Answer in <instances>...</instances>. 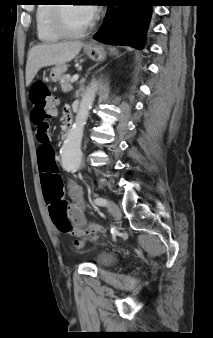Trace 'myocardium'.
<instances>
[{
    "label": "myocardium",
    "mask_w": 213,
    "mask_h": 338,
    "mask_svg": "<svg viewBox=\"0 0 213 338\" xmlns=\"http://www.w3.org/2000/svg\"><path fill=\"white\" fill-rule=\"evenodd\" d=\"M70 5H55L52 9V17H51V27L54 30L55 33H57L60 37L63 38H81L85 35H87L93 28L94 23L91 22L88 27H86L83 30L74 32L68 30L63 21L62 12L63 9Z\"/></svg>",
    "instance_id": "1"
}]
</instances>
